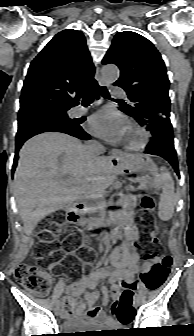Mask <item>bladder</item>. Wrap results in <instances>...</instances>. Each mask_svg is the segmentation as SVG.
<instances>
[{"label":"bladder","mask_w":194,"mask_h":336,"mask_svg":"<svg viewBox=\"0 0 194 336\" xmlns=\"http://www.w3.org/2000/svg\"><path fill=\"white\" fill-rule=\"evenodd\" d=\"M73 325L75 326L73 329H81L83 327H81L79 324L77 323H73Z\"/></svg>","instance_id":"1"}]
</instances>
